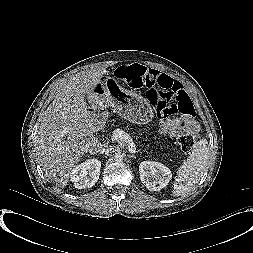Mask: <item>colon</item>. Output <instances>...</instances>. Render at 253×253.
<instances>
[{"mask_svg": "<svg viewBox=\"0 0 253 253\" xmlns=\"http://www.w3.org/2000/svg\"><path fill=\"white\" fill-rule=\"evenodd\" d=\"M148 70L140 64L120 66L116 70V77L131 88L147 87V98L152 104L156 113L164 119L171 118L176 114L190 117L194 113L191 98L180 86L170 87L157 82L155 85H148ZM195 131L187 132L179 136L178 144L183 151H189L198 140Z\"/></svg>", "mask_w": 253, "mask_h": 253, "instance_id": "1", "label": "colon"}]
</instances>
